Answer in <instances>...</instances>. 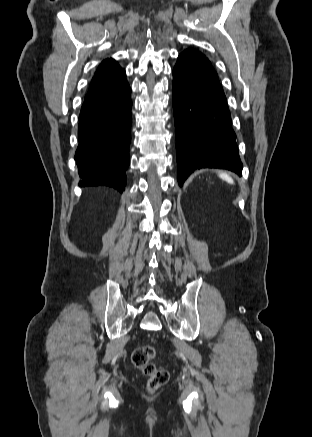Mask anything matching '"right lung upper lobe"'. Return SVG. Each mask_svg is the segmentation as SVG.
<instances>
[{
    "instance_id": "right-lung-upper-lobe-1",
    "label": "right lung upper lobe",
    "mask_w": 312,
    "mask_h": 437,
    "mask_svg": "<svg viewBox=\"0 0 312 437\" xmlns=\"http://www.w3.org/2000/svg\"><path fill=\"white\" fill-rule=\"evenodd\" d=\"M124 73L125 71L113 59H106L96 70L87 95L107 87Z\"/></svg>"
}]
</instances>
